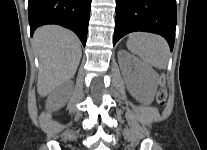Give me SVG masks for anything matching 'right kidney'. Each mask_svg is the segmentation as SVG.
<instances>
[{"instance_id":"ca27d5eb","label":"right kidney","mask_w":207,"mask_h":150,"mask_svg":"<svg viewBox=\"0 0 207 150\" xmlns=\"http://www.w3.org/2000/svg\"><path fill=\"white\" fill-rule=\"evenodd\" d=\"M53 99H54V95L51 94L49 97H48V100H47V106H50L53 102Z\"/></svg>"}]
</instances>
